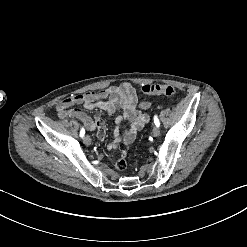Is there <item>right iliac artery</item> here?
I'll return each instance as SVG.
<instances>
[{"label":"right iliac artery","mask_w":247,"mask_h":247,"mask_svg":"<svg viewBox=\"0 0 247 247\" xmlns=\"http://www.w3.org/2000/svg\"><path fill=\"white\" fill-rule=\"evenodd\" d=\"M84 135H85V130H84V128H82L80 131V137H83Z\"/></svg>","instance_id":"82829eb1"}]
</instances>
